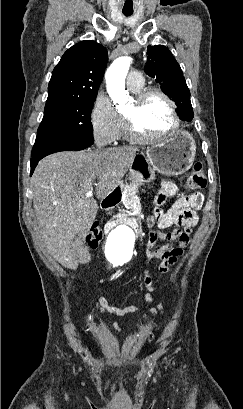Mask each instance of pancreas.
I'll use <instances>...</instances> for the list:
<instances>
[{
  "mask_svg": "<svg viewBox=\"0 0 243 409\" xmlns=\"http://www.w3.org/2000/svg\"><path fill=\"white\" fill-rule=\"evenodd\" d=\"M129 180L131 182L129 184L125 183L123 187L122 202L127 209L131 210L134 206V199L138 192V188L143 184V178L141 175H137L136 177H132V176L129 177ZM125 213H128V211L123 210L122 214H118L116 217L124 216ZM125 216H128V215H125Z\"/></svg>",
  "mask_w": 243,
  "mask_h": 409,
  "instance_id": "1",
  "label": "pancreas"
}]
</instances>
